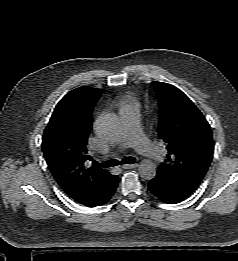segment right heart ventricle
Listing matches in <instances>:
<instances>
[{"label":"right heart ventricle","instance_id":"e07e8e85","mask_svg":"<svg viewBox=\"0 0 238 261\" xmlns=\"http://www.w3.org/2000/svg\"><path fill=\"white\" fill-rule=\"evenodd\" d=\"M129 105H136V101L131 96H126L122 99L120 106L123 108Z\"/></svg>","mask_w":238,"mask_h":261}]
</instances>
